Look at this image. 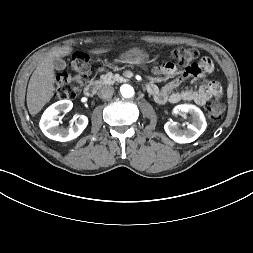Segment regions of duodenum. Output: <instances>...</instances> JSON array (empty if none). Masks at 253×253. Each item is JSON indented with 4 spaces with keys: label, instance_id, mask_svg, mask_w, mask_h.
Instances as JSON below:
<instances>
[{
    "label": "duodenum",
    "instance_id": "duodenum-1",
    "mask_svg": "<svg viewBox=\"0 0 253 253\" xmlns=\"http://www.w3.org/2000/svg\"><path fill=\"white\" fill-rule=\"evenodd\" d=\"M104 84V81L101 79L92 81L90 83H88L85 88H84V94L87 97H92L94 96L97 91L99 90V88Z\"/></svg>",
    "mask_w": 253,
    "mask_h": 253
}]
</instances>
